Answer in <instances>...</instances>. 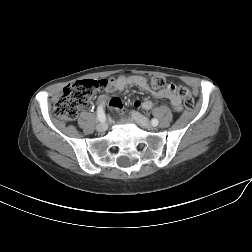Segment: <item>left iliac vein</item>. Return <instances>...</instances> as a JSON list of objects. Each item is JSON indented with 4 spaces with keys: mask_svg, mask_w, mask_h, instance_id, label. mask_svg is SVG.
Returning <instances> with one entry per match:
<instances>
[{
    "mask_svg": "<svg viewBox=\"0 0 252 252\" xmlns=\"http://www.w3.org/2000/svg\"><path fill=\"white\" fill-rule=\"evenodd\" d=\"M131 116L136 121V123L140 125L141 127L146 128V129L151 128L149 120L143 115L139 114L138 112L132 111Z\"/></svg>",
    "mask_w": 252,
    "mask_h": 252,
    "instance_id": "4c4485c4",
    "label": "left iliac vein"
}]
</instances>
